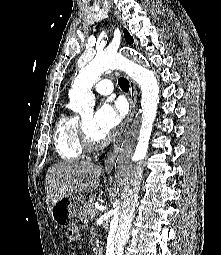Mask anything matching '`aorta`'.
Returning <instances> with one entry per match:
<instances>
[{
	"label": "aorta",
	"mask_w": 221,
	"mask_h": 255,
	"mask_svg": "<svg viewBox=\"0 0 221 255\" xmlns=\"http://www.w3.org/2000/svg\"><path fill=\"white\" fill-rule=\"evenodd\" d=\"M129 55V53H127ZM131 54V53H130ZM137 71H130L142 89L144 104L155 109L158 102L156 84L149 77L146 65L139 62ZM126 66L124 57L119 53L103 52L91 58L81 68L69 91L70 108L82 117L93 114L95 97L92 87L108 69ZM150 132L141 137L136 145L127 143L120 151L116 161L115 188L118 206L113 216L108 234L107 255H123L129 239L130 229L135 216V208L142 180V164L147 154Z\"/></svg>",
	"instance_id": "762f6f07"
}]
</instances>
